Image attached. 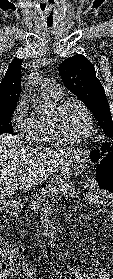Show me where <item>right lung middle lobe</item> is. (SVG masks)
<instances>
[{
  "instance_id": "dd1d6c3e",
  "label": "right lung middle lobe",
  "mask_w": 113,
  "mask_h": 279,
  "mask_svg": "<svg viewBox=\"0 0 113 279\" xmlns=\"http://www.w3.org/2000/svg\"><path fill=\"white\" fill-rule=\"evenodd\" d=\"M14 108L15 107H10L0 110V134H15L13 132V127L11 123V117L14 112Z\"/></svg>"
}]
</instances>
